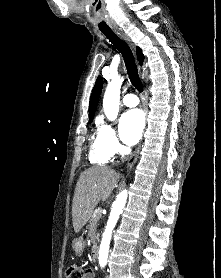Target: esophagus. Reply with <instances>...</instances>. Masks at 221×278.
<instances>
[{
    "label": "esophagus",
    "mask_w": 221,
    "mask_h": 278,
    "mask_svg": "<svg viewBox=\"0 0 221 278\" xmlns=\"http://www.w3.org/2000/svg\"><path fill=\"white\" fill-rule=\"evenodd\" d=\"M119 36H121L124 40L129 41L128 37L120 30H114ZM141 149V144L137 147V149L134 151V153L132 154V156L129 158L128 162H127V169H130L134 163L136 162L139 152Z\"/></svg>",
    "instance_id": "obj_1"
}]
</instances>
